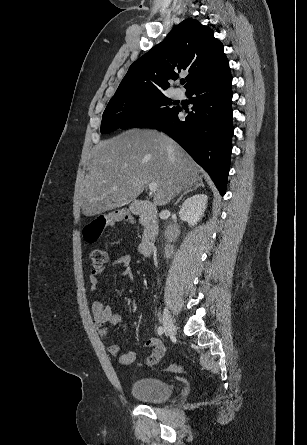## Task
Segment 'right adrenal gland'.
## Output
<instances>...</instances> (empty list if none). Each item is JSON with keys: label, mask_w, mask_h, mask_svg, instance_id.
Wrapping results in <instances>:
<instances>
[{"label": "right adrenal gland", "mask_w": 307, "mask_h": 445, "mask_svg": "<svg viewBox=\"0 0 307 445\" xmlns=\"http://www.w3.org/2000/svg\"><path fill=\"white\" fill-rule=\"evenodd\" d=\"M200 178V176H198ZM202 180H199V184H194V186H190V188H187V190H184L183 194L179 196L178 200L174 202V204H178L180 202L181 198H183L184 194H188V192H191V190H195V188H199V186H204V184H201Z\"/></svg>", "instance_id": "1"}]
</instances>
